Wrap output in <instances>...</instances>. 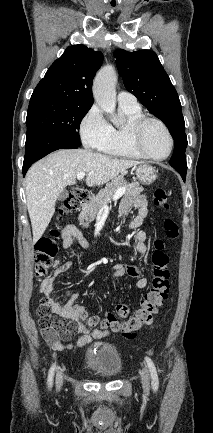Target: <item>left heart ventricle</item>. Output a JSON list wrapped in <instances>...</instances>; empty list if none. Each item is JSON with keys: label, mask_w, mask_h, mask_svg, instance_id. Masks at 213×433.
<instances>
[{"label": "left heart ventricle", "mask_w": 213, "mask_h": 433, "mask_svg": "<svg viewBox=\"0 0 213 433\" xmlns=\"http://www.w3.org/2000/svg\"><path fill=\"white\" fill-rule=\"evenodd\" d=\"M142 142L145 149L155 156H164L169 150V139L165 131L155 123L145 127Z\"/></svg>", "instance_id": "left-heart-ventricle-1"}]
</instances>
